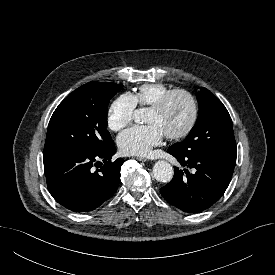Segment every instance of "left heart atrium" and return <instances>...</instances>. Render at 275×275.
<instances>
[{"instance_id": "1", "label": "left heart atrium", "mask_w": 275, "mask_h": 275, "mask_svg": "<svg viewBox=\"0 0 275 275\" xmlns=\"http://www.w3.org/2000/svg\"><path fill=\"white\" fill-rule=\"evenodd\" d=\"M164 134L156 124L133 126L122 132L117 139L120 151L126 155L143 156L159 145Z\"/></svg>"}]
</instances>
